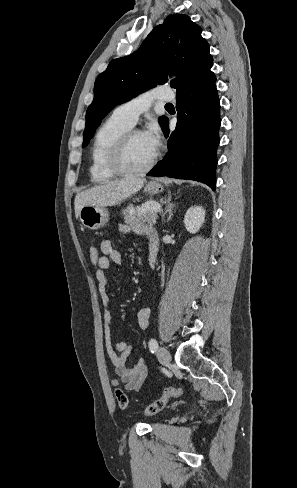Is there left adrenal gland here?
Returning a JSON list of instances; mask_svg holds the SVG:
<instances>
[{
  "label": "left adrenal gland",
  "instance_id": "obj_1",
  "mask_svg": "<svg viewBox=\"0 0 297 488\" xmlns=\"http://www.w3.org/2000/svg\"><path fill=\"white\" fill-rule=\"evenodd\" d=\"M165 214L168 213V218L167 221L171 219L172 216V209H173V204L171 203V194L168 195V198L165 200Z\"/></svg>",
  "mask_w": 297,
  "mask_h": 488
}]
</instances>
